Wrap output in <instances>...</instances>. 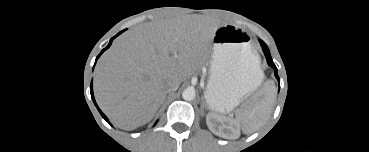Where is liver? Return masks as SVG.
I'll use <instances>...</instances> for the list:
<instances>
[{
    "instance_id": "1",
    "label": "liver",
    "mask_w": 369,
    "mask_h": 152,
    "mask_svg": "<svg viewBox=\"0 0 369 152\" xmlns=\"http://www.w3.org/2000/svg\"><path fill=\"white\" fill-rule=\"evenodd\" d=\"M217 28L205 19L173 18L123 34L95 67L102 111L121 129L148 123L165 100L167 82L182 83L207 58Z\"/></svg>"
}]
</instances>
